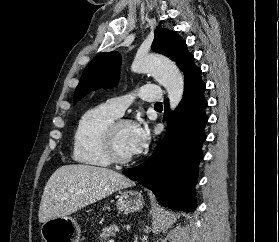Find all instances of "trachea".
Here are the masks:
<instances>
[{
  "instance_id": "obj_1",
  "label": "trachea",
  "mask_w": 279,
  "mask_h": 242,
  "mask_svg": "<svg viewBox=\"0 0 279 242\" xmlns=\"http://www.w3.org/2000/svg\"><path fill=\"white\" fill-rule=\"evenodd\" d=\"M155 107H162V103L161 102L156 103Z\"/></svg>"
}]
</instances>
